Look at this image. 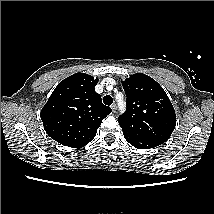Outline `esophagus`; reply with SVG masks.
<instances>
[{
  "label": "esophagus",
  "mask_w": 214,
  "mask_h": 214,
  "mask_svg": "<svg viewBox=\"0 0 214 214\" xmlns=\"http://www.w3.org/2000/svg\"><path fill=\"white\" fill-rule=\"evenodd\" d=\"M111 109H112V111H113L114 113L116 112L117 106H116L115 103L111 105Z\"/></svg>",
  "instance_id": "esophagus-1"
}]
</instances>
